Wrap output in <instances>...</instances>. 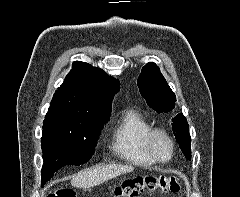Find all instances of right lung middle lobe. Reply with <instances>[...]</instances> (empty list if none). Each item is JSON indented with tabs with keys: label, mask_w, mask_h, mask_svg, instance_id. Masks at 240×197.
Masks as SVG:
<instances>
[{
	"label": "right lung middle lobe",
	"mask_w": 240,
	"mask_h": 197,
	"mask_svg": "<svg viewBox=\"0 0 240 197\" xmlns=\"http://www.w3.org/2000/svg\"><path fill=\"white\" fill-rule=\"evenodd\" d=\"M105 121L75 122L45 119L41 138L42 186L65 165H82L95 151Z\"/></svg>",
	"instance_id": "1"
}]
</instances>
